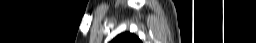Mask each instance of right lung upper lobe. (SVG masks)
Returning <instances> with one entry per match:
<instances>
[{"label": "right lung upper lobe", "instance_id": "obj_1", "mask_svg": "<svg viewBox=\"0 0 256 43\" xmlns=\"http://www.w3.org/2000/svg\"><path fill=\"white\" fill-rule=\"evenodd\" d=\"M111 43H142L138 37L127 32L118 35Z\"/></svg>", "mask_w": 256, "mask_h": 43}]
</instances>
